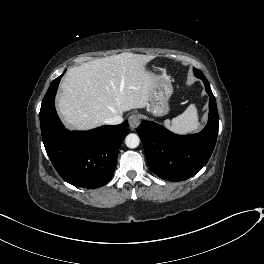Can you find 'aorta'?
<instances>
[{
  "mask_svg": "<svg viewBox=\"0 0 264 264\" xmlns=\"http://www.w3.org/2000/svg\"><path fill=\"white\" fill-rule=\"evenodd\" d=\"M140 138L137 134H128L125 138V144L128 148H136L139 146Z\"/></svg>",
  "mask_w": 264,
  "mask_h": 264,
  "instance_id": "1",
  "label": "aorta"
}]
</instances>
